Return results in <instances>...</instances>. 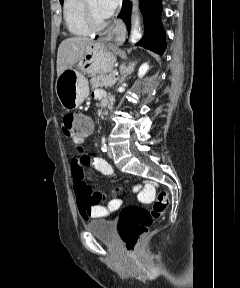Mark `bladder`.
Here are the masks:
<instances>
[{"label":"bladder","mask_w":240,"mask_h":288,"mask_svg":"<svg viewBox=\"0 0 240 288\" xmlns=\"http://www.w3.org/2000/svg\"><path fill=\"white\" fill-rule=\"evenodd\" d=\"M87 232L106 243L115 242V224L111 220L98 219L84 225Z\"/></svg>","instance_id":"obj_1"}]
</instances>
